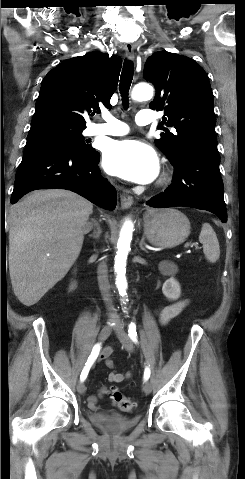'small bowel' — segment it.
I'll use <instances>...</instances> for the list:
<instances>
[{
    "instance_id": "c3829d8e",
    "label": "small bowel",
    "mask_w": 245,
    "mask_h": 479,
    "mask_svg": "<svg viewBox=\"0 0 245 479\" xmlns=\"http://www.w3.org/2000/svg\"><path fill=\"white\" fill-rule=\"evenodd\" d=\"M188 305H189V301L184 299L171 305L159 307L157 309V315L159 317L160 322L162 324L168 323L169 321L177 317ZM111 354H112V349L105 348L100 355V359L104 360L107 366L109 367H113V363L109 359ZM130 377H131V372L121 373L117 371H112L109 374L108 381L109 383H121L129 379ZM106 390H107L106 387H103L100 390V396L104 395L106 393ZM88 405L92 409L98 408L96 396H90L88 398Z\"/></svg>"
}]
</instances>
